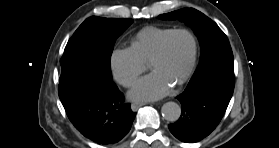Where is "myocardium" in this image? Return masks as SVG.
I'll list each match as a JSON object with an SVG mask.
<instances>
[{
  "label": "myocardium",
  "mask_w": 279,
  "mask_h": 148,
  "mask_svg": "<svg viewBox=\"0 0 279 148\" xmlns=\"http://www.w3.org/2000/svg\"><path fill=\"white\" fill-rule=\"evenodd\" d=\"M180 33H185L187 35L190 36V38L193 41V56H192V60L191 63L186 71V73L177 81L175 82L177 85H181L183 83H185L190 76L192 75V73L194 72V69L196 67V63H197V58H198V40L197 37L195 36V34L188 30V29H174L171 32H169L161 41L159 47L157 48L156 52L154 53L153 57L151 58L150 62H149V66L160 60L164 54H165V50H166V46H167V42L168 40L173 37L176 34H180Z\"/></svg>",
  "instance_id": "1"
}]
</instances>
